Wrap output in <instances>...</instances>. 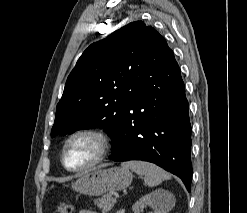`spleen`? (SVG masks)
Instances as JSON below:
<instances>
[{"mask_svg": "<svg viewBox=\"0 0 247 213\" xmlns=\"http://www.w3.org/2000/svg\"><path fill=\"white\" fill-rule=\"evenodd\" d=\"M121 166L125 169H130L139 175H143L144 182L149 187L157 186L164 180H169L171 178V175L168 172L149 162L128 161L123 162ZM163 193L169 195L167 192Z\"/></svg>", "mask_w": 247, "mask_h": 213, "instance_id": "3e777b00", "label": "spleen"}]
</instances>
